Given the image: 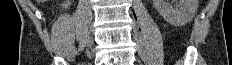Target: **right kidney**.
I'll return each instance as SVG.
<instances>
[{
  "mask_svg": "<svg viewBox=\"0 0 232 65\" xmlns=\"http://www.w3.org/2000/svg\"><path fill=\"white\" fill-rule=\"evenodd\" d=\"M67 3L66 4H64L62 7L63 8H67L69 5H70V3H69V0L68 1H66Z\"/></svg>",
  "mask_w": 232,
  "mask_h": 65,
  "instance_id": "ca27d5eb",
  "label": "right kidney"
}]
</instances>
